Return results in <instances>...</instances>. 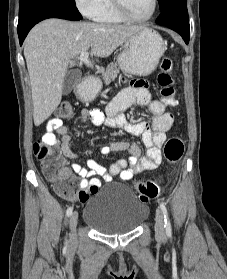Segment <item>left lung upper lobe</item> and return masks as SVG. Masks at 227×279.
I'll return each instance as SVG.
<instances>
[{
  "instance_id": "1",
  "label": "left lung upper lobe",
  "mask_w": 227,
  "mask_h": 279,
  "mask_svg": "<svg viewBox=\"0 0 227 279\" xmlns=\"http://www.w3.org/2000/svg\"><path fill=\"white\" fill-rule=\"evenodd\" d=\"M160 11H165L168 7L172 5H187L186 0H158Z\"/></svg>"
}]
</instances>
